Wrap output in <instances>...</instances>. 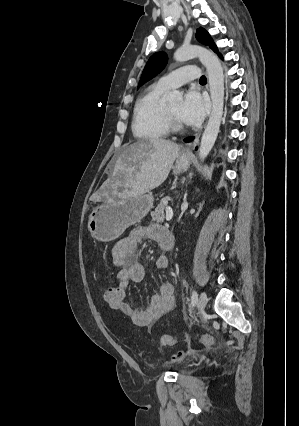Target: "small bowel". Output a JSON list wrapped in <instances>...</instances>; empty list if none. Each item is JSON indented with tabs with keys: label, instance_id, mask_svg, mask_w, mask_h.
<instances>
[{
	"label": "small bowel",
	"instance_id": "small-bowel-1",
	"mask_svg": "<svg viewBox=\"0 0 299 426\" xmlns=\"http://www.w3.org/2000/svg\"><path fill=\"white\" fill-rule=\"evenodd\" d=\"M163 228L157 224L147 227H138L132 230L126 237L119 240L112 249L114 264L120 268L115 276L117 285L127 292L130 282H141L145 275L143 265L137 260L138 246L145 239L157 242L161 245ZM169 265V260L162 255L157 258L155 267L163 270ZM175 307L174 286L171 282H164L159 287V292L151 297L149 305L142 309L126 302L121 312L131 318L134 324L142 327H150L160 318L168 314ZM183 354L179 353L177 357Z\"/></svg>",
	"mask_w": 299,
	"mask_h": 426
}]
</instances>
